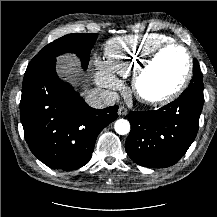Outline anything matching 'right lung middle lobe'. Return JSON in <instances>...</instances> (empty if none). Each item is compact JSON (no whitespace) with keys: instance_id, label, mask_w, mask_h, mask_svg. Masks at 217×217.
I'll list each match as a JSON object with an SVG mask.
<instances>
[{"instance_id":"dd1d6c3e","label":"right lung middle lobe","mask_w":217,"mask_h":217,"mask_svg":"<svg viewBox=\"0 0 217 217\" xmlns=\"http://www.w3.org/2000/svg\"><path fill=\"white\" fill-rule=\"evenodd\" d=\"M97 36L98 34L96 33L65 35L41 49V51L30 61L26 71L49 59L56 58L58 55L68 52L77 54L81 58L83 69H87L90 52Z\"/></svg>"}]
</instances>
